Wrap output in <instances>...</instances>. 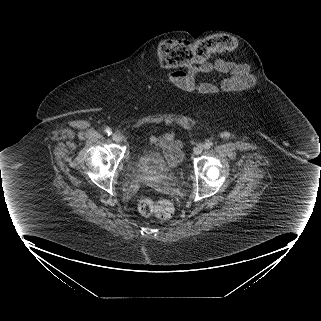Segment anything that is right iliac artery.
I'll use <instances>...</instances> for the list:
<instances>
[{
    "label": "right iliac artery",
    "mask_w": 321,
    "mask_h": 321,
    "mask_svg": "<svg viewBox=\"0 0 321 321\" xmlns=\"http://www.w3.org/2000/svg\"><path fill=\"white\" fill-rule=\"evenodd\" d=\"M105 133L107 135H111L112 134V130L108 127V128L105 129Z\"/></svg>",
    "instance_id": "right-iliac-artery-1"
}]
</instances>
